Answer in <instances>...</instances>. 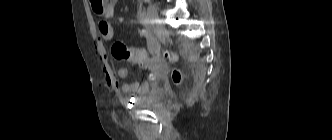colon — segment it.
<instances>
[{
	"mask_svg": "<svg viewBox=\"0 0 332 140\" xmlns=\"http://www.w3.org/2000/svg\"><path fill=\"white\" fill-rule=\"evenodd\" d=\"M105 1L111 2V0H90V4H91L94 12H96L97 14H102L103 11L105 10ZM98 29H99V33L102 37H108V36H111L114 34L113 26L106 19H102L99 21ZM111 51H112V55L116 59H119V60L137 62L141 57V54L138 50L128 47L121 42H116L112 46ZM162 54L165 58L170 59L172 61H176L178 58L175 53H173L169 50H166V49L163 50ZM182 79H183V76H182L181 71L178 69L173 70V72H172L173 82L175 84L179 85V84H181Z\"/></svg>",
	"mask_w": 332,
	"mask_h": 140,
	"instance_id": "1",
	"label": "colon"
}]
</instances>
